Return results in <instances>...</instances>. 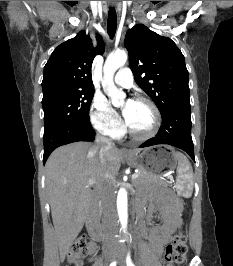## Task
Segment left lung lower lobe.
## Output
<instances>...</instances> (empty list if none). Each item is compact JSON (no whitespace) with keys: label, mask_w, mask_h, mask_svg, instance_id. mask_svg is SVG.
Wrapping results in <instances>:
<instances>
[{"label":"left lung lower lobe","mask_w":233,"mask_h":266,"mask_svg":"<svg viewBox=\"0 0 233 266\" xmlns=\"http://www.w3.org/2000/svg\"><path fill=\"white\" fill-rule=\"evenodd\" d=\"M162 115V126L154 138L144 142L140 147L168 144L178 147L194 158V147L191 137L190 99H183L171 104Z\"/></svg>","instance_id":"1"}]
</instances>
